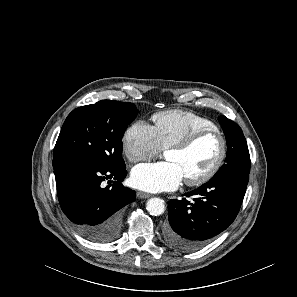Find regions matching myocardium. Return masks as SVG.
<instances>
[{"label":"myocardium","instance_id":"1","mask_svg":"<svg viewBox=\"0 0 297 297\" xmlns=\"http://www.w3.org/2000/svg\"><path fill=\"white\" fill-rule=\"evenodd\" d=\"M210 135H214L219 139L221 144L220 154L217 160L215 161V163L206 172L196 177L188 178L185 180V183L189 186H197V185L204 184L209 180H211L219 172L228 154V142L226 137L217 128L201 129V130L194 131L189 135L176 140L169 147H167V150H171V149L187 150L191 148L195 143H197L200 139Z\"/></svg>","mask_w":297,"mask_h":297}]
</instances>
